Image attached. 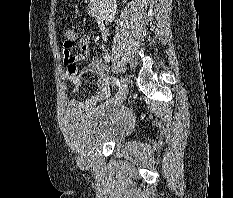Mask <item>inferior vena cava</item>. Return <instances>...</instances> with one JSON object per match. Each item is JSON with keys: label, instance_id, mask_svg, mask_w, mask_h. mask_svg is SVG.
<instances>
[{"label": "inferior vena cava", "instance_id": "inferior-vena-cava-1", "mask_svg": "<svg viewBox=\"0 0 233 198\" xmlns=\"http://www.w3.org/2000/svg\"><path fill=\"white\" fill-rule=\"evenodd\" d=\"M116 8V0H101V14L105 22L115 19Z\"/></svg>", "mask_w": 233, "mask_h": 198}]
</instances>
